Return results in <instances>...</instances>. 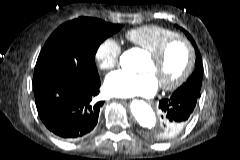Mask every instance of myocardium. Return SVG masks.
<instances>
[{
  "label": "myocardium",
  "instance_id": "obj_1",
  "mask_svg": "<svg viewBox=\"0 0 240 160\" xmlns=\"http://www.w3.org/2000/svg\"><path fill=\"white\" fill-rule=\"evenodd\" d=\"M177 43L185 46L187 50V63L182 73L173 82L160 84V87L165 91H175L189 79L195 66V49L187 38L177 35L165 40L154 52L149 54L153 62L161 63L165 59L169 49Z\"/></svg>",
  "mask_w": 240,
  "mask_h": 160
}]
</instances>
